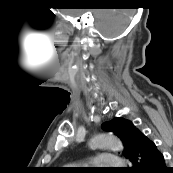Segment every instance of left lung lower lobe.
<instances>
[{
	"label": "left lung lower lobe",
	"mask_w": 173,
	"mask_h": 173,
	"mask_svg": "<svg viewBox=\"0 0 173 173\" xmlns=\"http://www.w3.org/2000/svg\"><path fill=\"white\" fill-rule=\"evenodd\" d=\"M130 161L127 173H165L164 157L155 143L138 132L135 146L126 157Z\"/></svg>",
	"instance_id": "1"
}]
</instances>
